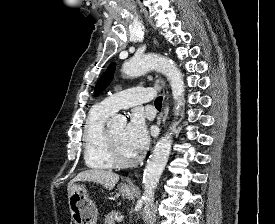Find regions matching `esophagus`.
Returning <instances> with one entry per match:
<instances>
[{"mask_svg": "<svg viewBox=\"0 0 275 224\" xmlns=\"http://www.w3.org/2000/svg\"><path fill=\"white\" fill-rule=\"evenodd\" d=\"M154 43L156 44V41H155V40H154ZM160 84H161V86H162L163 89H164V96H166L167 92L165 91V81H164V79H163L162 77H160ZM162 116H163V115L160 114V116L158 117V120H157L158 125L161 124Z\"/></svg>", "mask_w": 275, "mask_h": 224, "instance_id": "obj_1", "label": "esophagus"}]
</instances>
